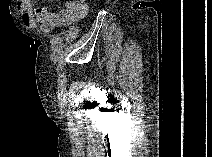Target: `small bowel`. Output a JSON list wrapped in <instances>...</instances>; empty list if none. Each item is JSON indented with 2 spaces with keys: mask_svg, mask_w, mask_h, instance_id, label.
Instances as JSON below:
<instances>
[{
  "mask_svg": "<svg viewBox=\"0 0 212 157\" xmlns=\"http://www.w3.org/2000/svg\"><path fill=\"white\" fill-rule=\"evenodd\" d=\"M22 22L29 26L37 23L41 30L51 32L56 27L71 25L87 14L86 3L81 0H68L59 11H52L47 6L33 7L30 1L18 2Z\"/></svg>",
  "mask_w": 212,
  "mask_h": 157,
  "instance_id": "small-bowel-1",
  "label": "small bowel"
}]
</instances>
